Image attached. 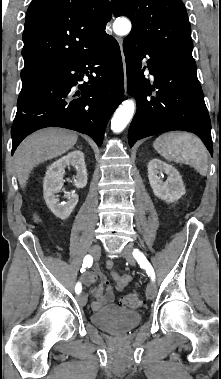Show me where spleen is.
I'll return each instance as SVG.
<instances>
[{
    "mask_svg": "<svg viewBox=\"0 0 221 379\" xmlns=\"http://www.w3.org/2000/svg\"><path fill=\"white\" fill-rule=\"evenodd\" d=\"M153 146L166 160L190 165L200 175L206 176L208 152L196 136L185 132H169L160 135Z\"/></svg>",
    "mask_w": 221,
    "mask_h": 379,
    "instance_id": "spleen-1",
    "label": "spleen"
}]
</instances>
